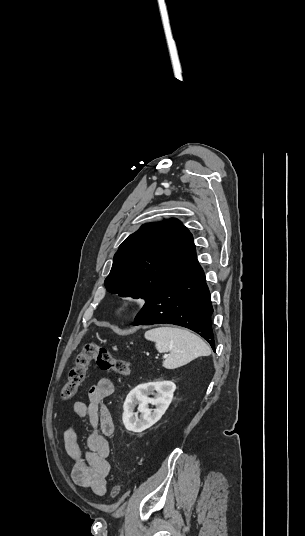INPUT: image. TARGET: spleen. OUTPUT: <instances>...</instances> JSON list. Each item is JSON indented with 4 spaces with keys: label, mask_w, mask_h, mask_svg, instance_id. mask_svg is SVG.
<instances>
[{
    "label": "spleen",
    "mask_w": 305,
    "mask_h": 536,
    "mask_svg": "<svg viewBox=\"0 0 305 536\" xmlns=\"http://www.w3.org/2000/svg\"><path fill=\"white\" fill-rule=\"evenodd\" d=\"M146 340L155 342L156 350L170 352L163 362L167 370H175L189 364L199 356H210L211 350L199 336L191 334L185 328H154L144 334Z\"/></svg>",
    "instance_id": "obj_1"
}]
</instances>
